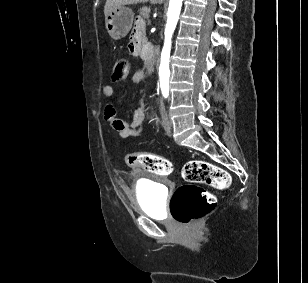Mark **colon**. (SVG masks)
Here are the masks:
<instances>
[{
	"label": "colon",
	"instance_id": "obj_1",
	"mask_svg": "<svg viewBox=\"0 0 308 283\" xmlns=\"http://www.w3.org/2000/svg\"><path fill=\"white\" fill-rule=\"evenodd\" d=\"M129 71V61L119 59L113 67L112 79L123 80ZM126 163L130 167L142 168L158 175H169L173 171L172 163L168 159L147 152L127 154ZM181 175L186 183L173 193L171 212L173 217L184 225L202 219L216 206L215 197L199 184H206L218 190H226L231 186V177L226 170L203 160L185 163Z\"/></svg>",
	"mask_w": 308,
	"mask_h": 283
}]
</instances>
